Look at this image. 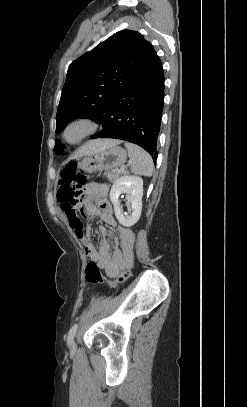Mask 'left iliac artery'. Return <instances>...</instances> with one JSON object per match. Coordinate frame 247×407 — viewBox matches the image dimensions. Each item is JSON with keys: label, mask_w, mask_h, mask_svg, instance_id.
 <instances>
[{"label": "left iliac artery", "mask_w": 247, "mask_h": 407, "mask_svg": "<svg viewBox=\"0 0 247 407\" xmlns=\"http://www.w3.org/2000/svg\"><path fill=\"white\" fill-rule=\"evenodd\" d=\"M77 328H78V324H74L71 327V329H70V331L68 333V338H67L68 345H70L72 343V340H73V338H74V336L76 334Z\"/></svg>", "instance_id": "44dca946"}]
</instances>
